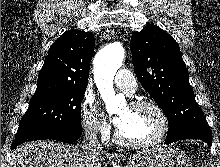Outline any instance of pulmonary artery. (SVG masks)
Masks as SVG:
<instances>
[{
    "mask_svg": "<svg viewBox=\"0 0 220 167\" xmlns=\"http://www.w3.org/2000/svg\"><path fill=\"white\" fill-rule=\"evenodd\" d=\"M114 81L117 87L128 95L133 94L137 89L135 77L126 69L118 70Z\"/></svg>",
    "mask_w": 220,
    "mask_h": 167,
    "instance_id": "pulmonary-artery-1",
    "label": "pulmonary artery"
}]
</instances>
